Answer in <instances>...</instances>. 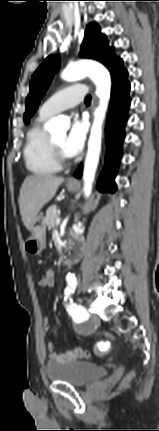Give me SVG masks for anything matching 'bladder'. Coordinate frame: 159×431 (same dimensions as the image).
<instances>
[{
  "mask_svg": "<svg viewBox=\"0 0 159 431\" xmlns=\"http://www.w3.org/2000/svg\"><path fill=\"white\" fill-rule=\"evenodd\" d=\"M108 368L89 361L75 360L67 363L49 362L45 374L50 382L83 387L108 374Z\"/></svg>",
  "mask_w": 159,
  "mask_h": 431,
  "instance_id": "31cf9c89",
  "label": "bladder"
}]
</instances>
